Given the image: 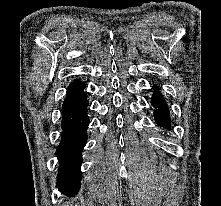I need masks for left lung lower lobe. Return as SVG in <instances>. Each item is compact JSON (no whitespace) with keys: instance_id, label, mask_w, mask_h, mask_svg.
I'll return each mask as SVG.
<instances>
[{"instance_id":"obj_1","label":"left lung lower lobe","mask_w":221,"mask_h":206,"mask_svg":"<svg viewBox=\"0 0 221 206\" xmlns=\"http://www.w3.org/2000/svg\"><path fill=\"white\" fill-rule=\"evenodd\" d=\"M151 104L156 108L154 111V118L156 123L163 128H170V114L167 107V104L162 97V95L158 92V89L155 88V93L152 97Z\"/></svg>"}]
</instances>
